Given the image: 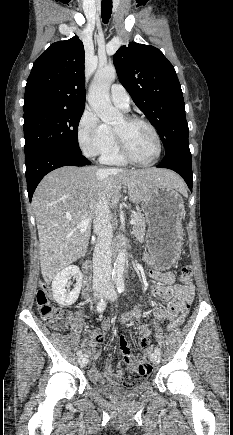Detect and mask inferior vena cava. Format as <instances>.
Returning a JSON list of instances; mask_svg holds the SVG:
<instances>
[{"instance_id":"obj_1","label":"inferior vena cava","mask_w":233,"mask_h":435,"mask_svg":"<svg viewBox=\"0 0 233 435\" xmlns=\"http://www.w3.org/2000/svg\"><path fill=\"white\" fill-rule=\"evenodd\" d=\"M109 212L108 200L100 193L97 218L94 220V232L98 238L93 253V289L106 286L111 277V242L113 230L107 219Z\"/></svg>"}]
</instances>
